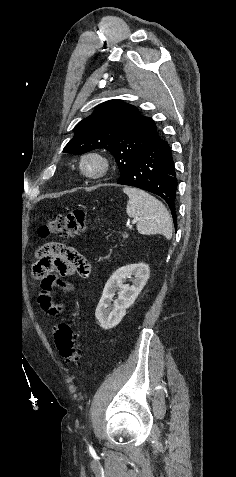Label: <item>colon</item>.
I'll return each mask as SVG.
<instances>
[{
    "label": "colon",
    "mask_w": 236,
    "mask_h": 477,
    "mask_svg": "<svg viewBox=\"0 0 236 477\" xmlns=\"http://www.w3.org/2000/svg\"><path fill=\"white\" fill-rule=\"evenodd\" d=\"M86 228V214L82 209L58 215L48 221L38 229L40 238H48L50 236H59L66 239L76 237L82 234ZM49 244V243H48ZM48 244L38 249V257L44 258L51 254L58 253V250L49 247ZM81 265V272L88 274L89 270L85 265L84 258L81 255L76 257ZM78 332L69 324L61 323L55 333V343L60 355L70 364H78L82 358V350L78 343Z\"/></svg>",
    "instance_id": "colon-1"
}]
</instances>
